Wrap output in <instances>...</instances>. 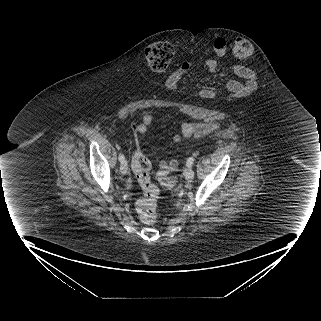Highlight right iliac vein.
I'll return each mask as SVG.
<instances>
[{
  "instance_id": "1",
  "label": "right iliac vein",
  "mask_w": 321,
  "mask_h": 321,
  "mask_svg": "<svg viewBox=\"0 0 321 321\" xmlns=\"http://www.w3.org/2000/svg\"><path fill=\"white\" fill-rule=\"evenodd\" d=\"M127 169H128V163L126 160H123L121 162V165H120V170L123 174H126L127 173Z\"/></svg>"
}]
</instances>
